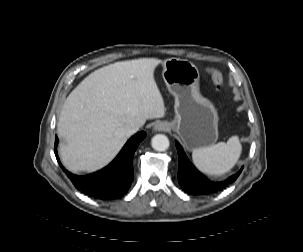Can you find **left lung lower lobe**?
Returning a JSON list of instances; mask_svg holds the SVG:
<instances>
[{
	"mask_svg": "<svg viewBox=\"0 0 303 252\" xmlns=\"http://www.w3.org/2000/svg\"><path fill=\"white\" fill-rule=\"evenodd\" d=\"M176 147L179 157L178 181L181 187L190 194H209L221 191L233 183L243 169L241 168L235 175L224 181L212 182L197 171L189 162L183 148L178 142H176Z\"/></svg>",
	"mask_w": 303,
	"mask_h": 252,
	"instance_id": "obj_1",
	"label": "left lung lower lobe"
}]
</instances>
